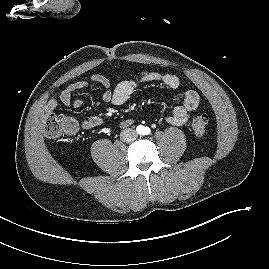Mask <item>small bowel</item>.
<instances>
[{"mask_svg": "<svg viewBox=\"0 0 269 269\" xmlns=\"http://www.w3.org/2000/svg\"><path fill=\"white\" fill-rule=\"evenodd\" d=\"M90 80L100 84L104 88L101 95L102 100L116 106L123 105L135 92V90L144 83L158 82L171 89L177 88L180 84L179 78L174 74L158 73L150 70H141L134 74L130 79H122L119 77L116 80L113 88H111L108 78L102 74H93L90 76ZM88 88L89 83L87 81H77L69 84L61 91L59 95L50 98L45 108L46 111H54L59 103L66 107H79L82 104V100L74 97V94ZM199 103V94L194 90L187 91L184 95L182 103L172 109L171 113L167 117V121L172 125H183L189 119L190 113L199 106ZM68 119L73 124V130L69 132L68 135H72L77 131L78 124L74 119ZM132 123L133 119H124L120 122V127L125 128L130 126ZM101 124L102 119L100 117L91 116L82 122V128L85 130H90L100 126Z\"/></svg>", "mask_w": 269, "mask_h": 269, "instance_id": "small-bowel-1", "label": "small bowel"}]
</instances>
